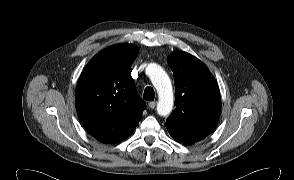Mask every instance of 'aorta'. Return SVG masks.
Masks as SVG:
<instances>
[{
	"label": "aorta",
	"mask_w": 294,
	"mask_h": 180,
	"mask_svg": "<svg viewBox=\"0 0 294 180\" xmlns=\"http://www.w3.org/2000/svg\"><path fill=\"white\" fill-rule=\"evenodd\" d=\"M149 78L158 93L157 112L161 116L171 113L174 104L172 84L169 76L160 65H148Z\"/></svg>",
	"instance_id": "762f6f07"
}]
</instances>
